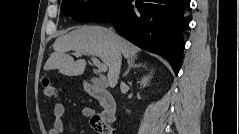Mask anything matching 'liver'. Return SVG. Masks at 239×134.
I'll return each mask as SVG.
<instances>
[{"label":"liver","instance_id":"obj_1","mask_svg":"<svg viewBox=\"0 0 239 134\" xmlns=\"http://www.w3.org/2000/svg\"><path fill=\"white\" fill-rule=\"evenodd\" d=\"M54 53L48 58L44 70L58 69L67 76L82 75L85 60L75 61L67 52L99 57L109 68L108 82L114 88L118 82L122 56L135 59L139 48L102 26H80L68 34L58 37L53 44Z\"/></svg>","mask_w":239,"mask_h":134}]
</instances>
